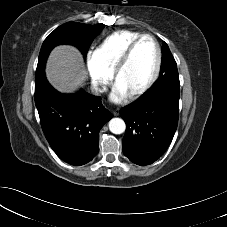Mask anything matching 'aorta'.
Masks as SVG:
<instances>
[{"mask_svg":"<svg viewBox=\"0 0 227 227\" xmlns=\"http://www.w3.org/2000/svg\"><path fill=\"white\" fill-rule=\"evenodd\" d=\"M109 129L113 134H122L126 129V125L121 118H113L109 121Z\"/></svg>","mask_w":227,"mask_h":227,"instance_id":"aorta-1","label":"aorta"}]
</instances>
